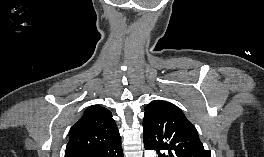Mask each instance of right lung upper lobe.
Returning <instances> with one entry per match:
<instances>
[{
  "label": "right lung upper lobe",
  "mask_w": 264,
  "mask_h": 157,
  "mask_svg": "<svg viewBox=\"0 0 264 157\" xmlns=\"http://www.w3.org/2000/svg\"><path fill=\"white\" fill-rule=\"evenodd\" d=\"M120 143L111 112L95 105L89 107L71 128L65 157H98Z\"/></svg>",
  "instance_id": "1"
}]
</instances>
